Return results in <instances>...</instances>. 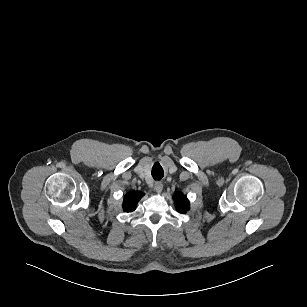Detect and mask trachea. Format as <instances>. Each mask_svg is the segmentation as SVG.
<instances>
[{"instance_id":"obj_1","label":"trachea","mask_w":307,"mask_h":307,"mask_svg":"<svg viewBox=\"0 0 307 307\" xmlns=\"http://www.w3.org/2000/svg\"><path fill=\"white\" fill-rule=\"evenodd\" d=\"M151 174L155 180H160L164 176V171L162 167L158 163H156L152 168Z\"/></svg>"}]
</instances>
